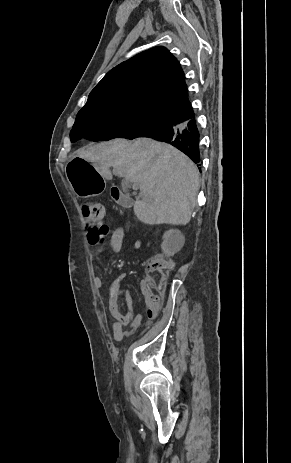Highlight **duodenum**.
Listing matches in <instances>:
<instances>
[{
    "label": "duodenum",
    "mask_w": 291,
    "mask_h": 463,
    "mask_svg": "<svg viewBox=\"0 0 291 463\" xmlns=\"http://www.w3.org/2000/svg\"><path fill=\"white\" fill-rule=\"evenodd\" d=\"M111 197L113 200H115L124 207H128L131 205V198L125 192L118 188H113L111 190Z\"/></svg>",
    "instance_id": "410a0bca"
}]
</instances>
